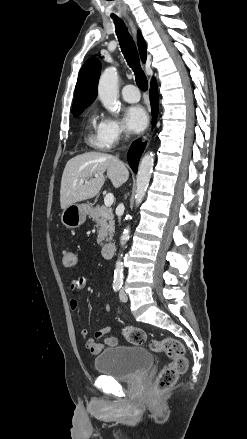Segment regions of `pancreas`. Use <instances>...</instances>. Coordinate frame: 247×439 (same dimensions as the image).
I'll list each match as a JSON object with an SVG mask.
<instances>
[{
    "label": "pancreas",
    "instance_id": "1",
    "mask_svg": "<svg viewBox=\"0 0 247 439\" xmlns=\"http://www.w3.org/2000/svg\"><path fill=\"white\" fill-rule=\"evenodd\" d=\"M89 218H92L98 229L97 244L103 246V241H110L114 232V215L110 208L96 206L89 210Z\"/></svg>",
    "mask_w": 247,
    "mask_h": 439
}]
</instances>
